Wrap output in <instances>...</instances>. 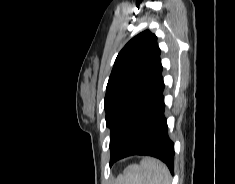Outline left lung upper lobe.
I'll use <instances>...</instances> for the list:
<instances>
[{
	"mask_svg": "<svg viewBox=\"0 0 235 184\" xmlns=\"http://www.w3.org/2000/svg\"><path fill=\"white\" fill-rule=\"evenodd\" d=\"M157 37L145 30L119 52L106 87L104 108L112 160L127 142L162 71Z\"/></svg>",
	"mask_w": 235,
	"mask_h": 184,
	"instance_id": "5c2ea615",
	"label": "left lung upper lobe"
}]
</instances>
